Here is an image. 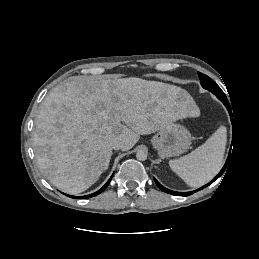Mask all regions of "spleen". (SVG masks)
Segmentation results:
<instances>
[{"label": "spleen", "instance_id": "spleen-1", "mask_svg": "<svg viewBox=\"0 0 259 259\" xmlns=\"http://www.w3.org/2000/svg\"><path fill=\"white\" fill-rule=\"evenodd\" d=\"M227 142L225 126L219 127L210 138L191 153L169 161L170 168L191 187L210 181L221 169Z\"/></svg>", "mask_w": 259, "mask_h": 259}]
</instances>
